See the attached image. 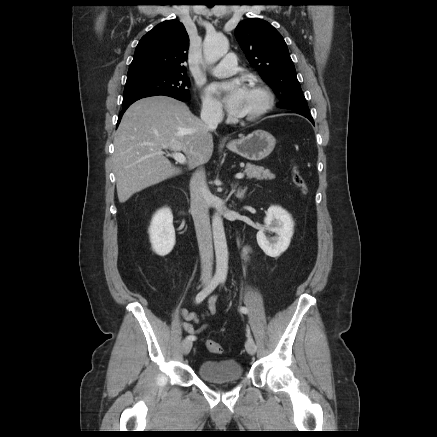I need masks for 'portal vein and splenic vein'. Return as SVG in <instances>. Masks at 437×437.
Returning <instances> with one entry per match:
<instances>
[{
  "instance_id": "obj_1",
  "label": "portal vein and splenic vein",
  "mask_w": 437,
  "mask_h": 437,
  "mask_svg": "<svg viewBox=\"0 0 437 437\" xmlns=\"http://www.w3.org/2000/svg\"><path fill=\"white\" fill-rule=\"evenodd\" d=\"M171 157L178 163L180 164H185L186 163V157L180 153V152H174L171 154ZM237 179H241L244 177L243 173H237L235 176Z\"/></svg>"
}]
</instances>
